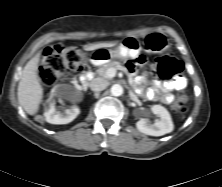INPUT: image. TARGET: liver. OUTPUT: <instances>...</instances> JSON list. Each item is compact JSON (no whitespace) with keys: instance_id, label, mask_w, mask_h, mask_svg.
Listing matches in <instances>:
<instances>
[{"instance_id":"1","label":"liver","mask_w":222,"mask_h":187,"mask_svg":"<svg viewBox=\"0 0 222 187\" xmlns=\"http://www.w3.org/2000/svg\"><path fill=\"white\" fill-rule=\"evenodd\" d=\"M115 42H101L84 45V50L91 51L104 47H112ZM41 52L31 58L23 69L22 76L18 85V101L23 109L29 114L34 115L38 111L41 102L43 89L37 78V69Z\"/></svg>"}]
</instances>
